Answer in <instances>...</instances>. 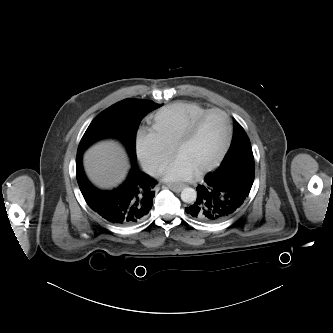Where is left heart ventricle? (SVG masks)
Segmentation results:
<instances>
[{
    "label": "left heart ventricle",
    "instance_id": "left-heart-ventricle-1",
    "mask_svg": "<svg viewBox=\"0 0 333 333\" xmlns=\"http://www.w3.org/2000/svg\"><path fill=\"white\" fill-rule=\"evenodd\" d=\"M227 134V123L219 113L210 114L194 135L176 150L195 171L211 163L218 155Z\"/></svg>",
    "mask_w": 333,
    "mask_h": 333
}]
</instances>
